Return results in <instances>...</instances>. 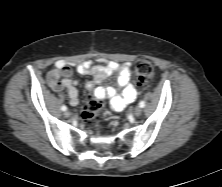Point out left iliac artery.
Returning <instances> with one entry per match:
<instances>
[{
    "mask_svg": "<svg viewBox=\"0 0 222 187\" xmlns=\"http://www.w3.org/2000/svg\"><path fill=\"white\" fill-rule=\"evenodd\" d=\"M139 106H140L141 108H144V107H145V102H144V101H141V102L139 103Z\"/></svg>",
    "mask_w": 222,
    "mask_h": 187,
    "instance_id": "44dca946",
    "label": "left iliac artery"
}]
</instances>
